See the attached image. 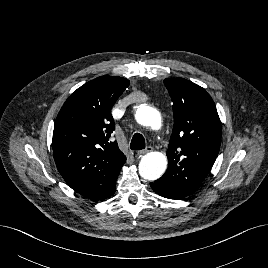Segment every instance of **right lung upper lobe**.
<instances>
[{
  "label": "right lung upper lobe",
  "instance_id": "obj_1",
  "mask_svg": "<svg viewBox=\"0 0 268 268\" xmlns=\"http://www.w3.org/2000/svg\"><path fill=\"white\" fill-rule=\"evenodd\" d=\"M129 86L114 76L95 78L74 91L62 106L53 132V154L58 171L77 193L96 201L115 188L126 161L111 136V109Z\"/></svg>",
  "mask_w": 268,
  "mask_h": 268
}]
</instances>
